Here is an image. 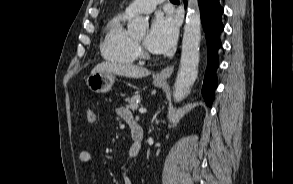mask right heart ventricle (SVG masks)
Returning a JSON list of instances; mask_svg holds the SVG:
<instances>
[{
  "label": "right heart ventricle",
  "instance_id": "e07e8e85",
  "mask_svg": "<svg viewBox=\"0 0 293 184\" xmlns=\"http://www.w3.org/2000/svg\"><path fill=\"white\" fill-rule=\"evenodd\" d=\"M129 15L120 13L112 17L105 27L104 38L100 50L102 57L110 62L131 64L137 58L134 39L125 28Z\"/></svg>",
  "mask_w": 293,
  "mask_h": 184
}]
</instances>
